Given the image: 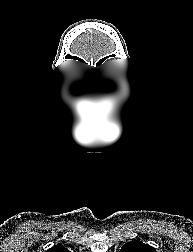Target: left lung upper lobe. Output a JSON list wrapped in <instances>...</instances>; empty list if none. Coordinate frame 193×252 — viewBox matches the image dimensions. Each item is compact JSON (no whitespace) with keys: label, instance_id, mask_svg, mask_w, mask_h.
<instances>
[{"label":"left lung upper lobe","instance_id":"5c2ea615","mask_svg":"<svg viewBox=\"0 0 193 252\" xmlns=\"http://www.w3.org/2000/svg\"><path fill=\"white\" fill-rule=\"evenodd\" d=\"M120 252H156V250L140 241H133L125 244Z\"/></svg>","mask_w":193,"mask_h":252}]
</instances>
